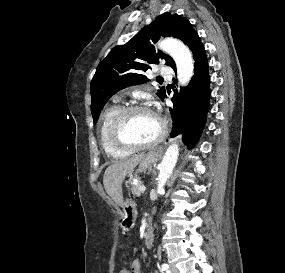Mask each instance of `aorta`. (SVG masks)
<instances>
[{"instance_id": "762f6f07", "label": "aorta", "mask_w": 285, "mask_h": 273, "mask_svg": "<svg viewBox=\"0 0 285 273\" xmlns=\"http://www.w3.org/2000/svg\"><path fill=\"white\" fill-rule=\"evenodd\" d=\"M159 48L167 52L175 61L179 83L187 85L193 76L194 63L189 48L180 40L168 38L159 43ZM179 155V147L172 143L160 164L157 178V192L164 193V186L173 172Z\"/></svg>"}]
</instances>
